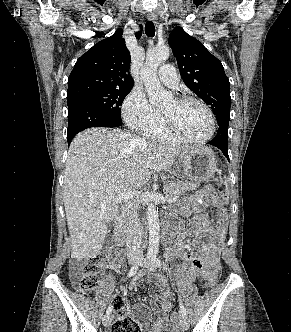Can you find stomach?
I'll return each instance as SVG.
<instances>
[{
    "instance_id": "0dacf381",
    "label": "stomach",
    "mask_w": 291,
    "mask_h": 332,
    "mask_svg": "<svg viewBox=\"0 0 291 332\" xmlns=\"http://www.w3.org/2000/svg\"><path fill=\"white\" fill-rule=\"evenodd\" d=\"M177 163L182 168L184 175L192 181L206 182L218 171L214 152L208 147L183 151L179 155ZM195 199L198 201L202 199V196H196Z\"/></svg>"
}]
</instances>
